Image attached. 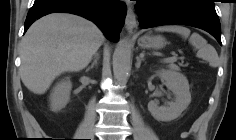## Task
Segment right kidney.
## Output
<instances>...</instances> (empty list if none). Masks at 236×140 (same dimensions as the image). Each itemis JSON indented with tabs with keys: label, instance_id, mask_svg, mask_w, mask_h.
Wrapping results in <instances>:
<instances>
[{
	"label": "right kidney",
	"instance_id": "obj_1",
	"mask_svg": "<svg viewBox=\"0 0 236 140\" xmlns=\"http://www.w3.org/2000/svg\"><path fill=\"white\" fill-rule=\"evenodd\" d=\"M71 88L72 83L69 78L57 83L50 95V108L52 111H58L67 105L70 100Z\"/></svg>",
	"mask_w": 236,
	"mask_h": 140
}]
</instances>
